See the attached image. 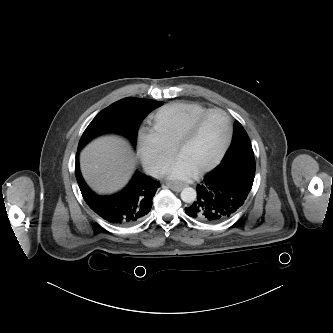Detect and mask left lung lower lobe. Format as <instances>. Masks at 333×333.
I'll use <instances>...</instances> for the list:
<instances>
[{
	"mask_svg": "<svg viewBox=\"0 0 333 333\" xmlns=\"http://www.w3.org/2000/svg\"><path fill=\"white\" fill-rule=\"evenodd\" d=\"M255 177V160L244 158L219 165L197 185V200L185 208L200 222H219L235 213L246 200Z\"/></svg>",
	"mask_w": 333,
	"mask_h": 333,
	"instance_id": "1",
	"label": "left lung lower lobe"
}]
</instances>
